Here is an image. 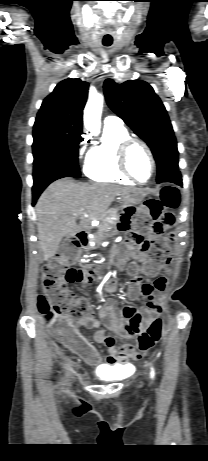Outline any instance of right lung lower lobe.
Returning <instances> with one entry per match:
<instances>
[{"label": "right lung lower lobe", "instance_id": "right-lung-lower-lobe-1", "mask_svg": "<svg viewBox=\"0 0 208 461\" xmlns=\"http://www.w3.org/2000/svg\"><path fill=\"white\" fill-rule=\"evenodd\" d=\"M63 177H71L69 174L65 172H54L50 173L38 181H34L33 185V205L36 203L39 195L42 191L53 181L63 178Z\"/></svg>", "mask_w": 208, "mask_h": 461}]
</instances>
